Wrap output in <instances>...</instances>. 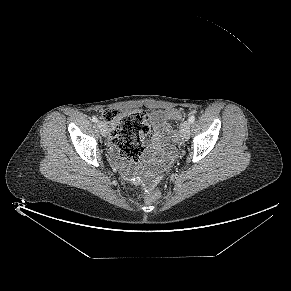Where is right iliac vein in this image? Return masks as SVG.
<instances>
[{
  "label": "right iliac vein",
  "instance_id": "63e3f726",
  "mask_svg": "<svg viewBox=\"0 0 291 291\" xmlns=\"http://www.w3.org/2000/svg\"><path fill=\"white\" fill-rule=\"evenodd\" d=\"M97 125H98V127L100 129L101 135L104 136V137H106L107 134H108V129H107L106 124L104 122H102V121H99L97 123Z\"/></svg>",
  "mask_w": 291,
  "mask_h": 291
}]
</instances>
